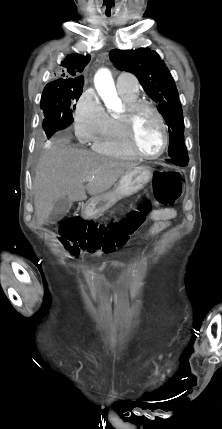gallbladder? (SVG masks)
Returning <instances> with one entry per match:
<instances>
[{"instance_id": "obj_1", "label": "gallbladder", "mask_w": 222, "mask_h": 429, "mask_svg": "<svg viewBox=\"0 0 222 429\" xmlns=\"http://www.w3.org/2000/svg\"><path fill=\"white\" fill-rule=\"evenodd\" d=\"M73 202L68 197H63L55 202L53 209L48 217V222L55 223L70 210Z\"/></svg>"}]
</instances>
